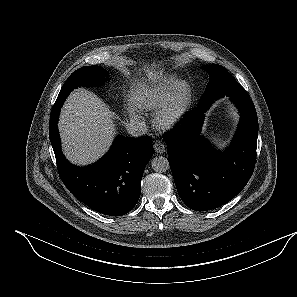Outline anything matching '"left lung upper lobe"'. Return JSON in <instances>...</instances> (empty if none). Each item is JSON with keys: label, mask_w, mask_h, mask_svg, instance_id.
Returning a JSON list of instances; mask_svg holds the SVG:
<instances>
[{"label": "left lung upper lobe", "mask_w": 297, "mask_h": 297, "mask_svg": "<svg viewBox=\"0 0 297 297\" xmlns=\"http://www.w3.org/2000/svg\"><path fill=\"white\" fill-rule=\"evenodd\" d=\"M209 74V82L202 95L199 106L213 102L224 96H246V90L221 65L201 67Z\"/></svg>", "instance_id": "1"}]
</instances>
